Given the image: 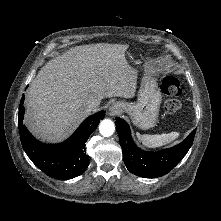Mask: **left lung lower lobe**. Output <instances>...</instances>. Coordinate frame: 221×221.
Instances as JSON below:
<instances>
[{"instance_id": "1", "label": "left lung lower lobe", "mask_w": 221, "mask_h": 221, "mask_svg": "<svg viewBox=\"0 0 221 221\" xmlns=\"http://www.w3.org/2000/svg\"><path fill=\"white\" fill-rule=\"evenodd\" d=\"M116 120L124 163L131 173L144 178H156L170 172L187 154L196 133L193 130L184 141L174 147L147 152L135 145L128 124L121 118Z\"/></svg>"}]
</instances>
